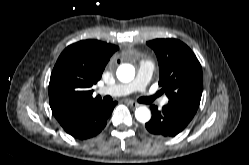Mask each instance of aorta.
Returning <instances> with one entry per match:
<instances>
[{"mask_svg": "<svg viewBox=\"0 0 249 165\" xmlns=\"http://www.w3.org/2000/svg\"><path fill=\"white\" fill-rule=\"evenodd\" d=\"M116 75L119 81L127 83L133 80L135 70L133 66L129 64H123L118 67ZM135 117L139 122L145 123L150 120L151 114L148 108L139 107L135 111Z\"/></svg>", "mask_w": 249, "mask_h": 165, "instance_id": "1", "label": "aorta"}]
</instances>
